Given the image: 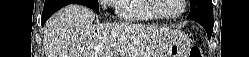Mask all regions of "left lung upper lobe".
Returning <instances> with one entry per match:
<instances>
[{
    "label": "left lung upper lobe",
    "instance_id": "obj_1",
    "mask_svg": "<svg viewBox=\"0 0 249 57\" xmlns=\"http://www.w3.org/2000/svg\"><path fill=\"white\" fill-rule=\"evenodd\" d=\"M190 8L188 18L213 17L212 0H190Z\"/></svg>",
    "mask_w": 249,
    "mask_h": 57
}]
</instances>
